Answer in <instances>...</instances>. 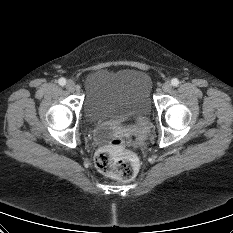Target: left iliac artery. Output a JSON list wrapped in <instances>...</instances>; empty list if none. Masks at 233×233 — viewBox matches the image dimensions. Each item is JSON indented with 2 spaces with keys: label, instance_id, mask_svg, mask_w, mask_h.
<instances>
[{
  "label": "left iliac artery",
  "instance_id": "obj_1",
  "mask_svg": "<svg viewBox=\"0 0 233 233\" xmlns=\"http://www.w3.org/2000/svg\"><path fill=\"white\" fill-rule=\"evenodd\" d=\"M171 84L174 86V87H177L179 85V80L177 78H173L171 80Z\"/></svg>",
  "mask_w": 233,
  "mask_h": 233
}]
</instances>
